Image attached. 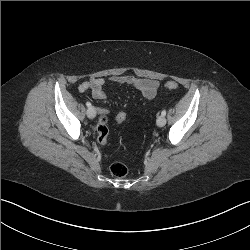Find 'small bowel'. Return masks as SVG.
<instances>
[{
	"instance_id": "1",
	"label": "small bowel",
	"mask_w": 250,
	"mask_h": 250,
	"mask_svg": "<svg viewBox=\"0 0 250 250\" xmlns=\"http://www.w3.org/2000/svg\"><path fill=\"white\" fill-rule=\"evenodd\" d=\"M128 86L139 90L143 96L152 100L157 94L159 82L153 79L137 78L134 76H112L106 81L103 78H92L82 82L78 90L83 93L87 90L91 91L92 97L97 100H104L107 98L106 86ZM101 115H105V109H99Z\"/></svg>"
}]
</instances>
